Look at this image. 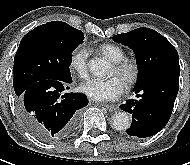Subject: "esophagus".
Wrapping results in <instances>:
<instances>
[{
    "label": "esophagus",
    "instance_id": "obj_1",
    "mask_svg": "<svg viewBox=\"0 0 190 165\" xmlns=\"http://www.w3.org/2000/svg\"><path fill=\"white\" fill-rule=\"evenodd\" d=\"M101 107L106 108L109 112H116L118 109L114 105H109V104H98Z\"/></svg>",
    "mask_w": 190,
    "mask_h": 165
}]
</instances>
